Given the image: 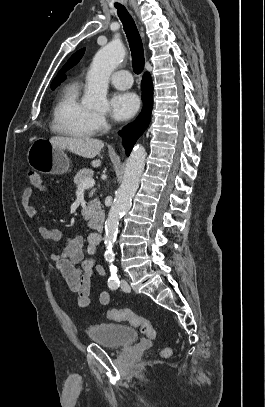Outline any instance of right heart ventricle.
Returning <instances> with one entry per match:
<instances>
[{"label": "right heart ventricle", "instance_id": "e07e8e85", "mask_svg": "<svg viewBox=\"0 0 265 407\" xmlns=\"http://www.w3.org/2000/svg\"><path fill=\"white\" fill-rule=\"evenodd\" d=\"M79 84L71 82L60 92L53 107L52 129L58 134L88 138L95 134L94 113L79 98Z\"/></svg>", "mask_w": 265, "mask_h": 407}]
</instances>
